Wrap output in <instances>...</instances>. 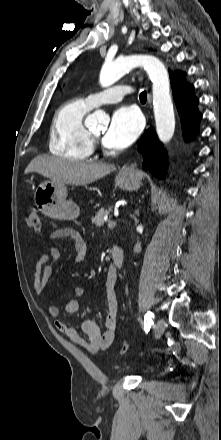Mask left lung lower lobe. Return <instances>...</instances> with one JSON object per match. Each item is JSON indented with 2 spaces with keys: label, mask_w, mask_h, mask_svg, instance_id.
Wrapping results in <instances>:
<instances>
[{
  "label": "left lung lower lobe",
  "mask_w": 221,
  "mask_h": 440,
  "mask_svg": "<svg viewBox=\"0 0 221 440\" xmlns=\"http://www.w3.org/2000/svg\"><path fill=\"white\" fill-rule=\"evenodd\" d=\"M184 73L179 72L175 78L170 72L173 97L180 115L184 137L191 139L197 134L199 121L198 99L193 95V86L184 81ZM138 150L142 153L144 163L154 176L161 178L166 166V153L159 142L153 128L148 129L138 142Z\"/></svg>",
  "instance_id": "1"
}]
</instances>
